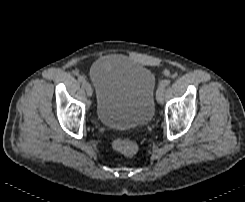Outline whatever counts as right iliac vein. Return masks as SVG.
Masks as SVG:
<instances>
[{
	"label": "right iliac vein",
	"instance_id": "1",
	"mask_svg": "<svg viewBox=\"0 0 245 202\" xmlns=\"http://www.w3.org/2000/svg\"><path fill=\"white\" fill-rule=\"evenodd\" d=\"M83 86H84V88H85V90H86L87 95H88L89 97H91L92 94H93V89H92L90 83L87 82V81H85V82L83 83Z\"/></svg>",
	"mask_w": 245,
	"mask_h": 202
}]
</instances>
